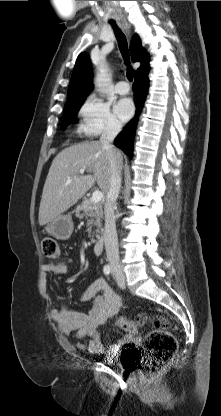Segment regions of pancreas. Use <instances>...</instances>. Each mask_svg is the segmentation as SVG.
<instances>
[{"label":"pancreas","instance_id":"cf45deb5","mask_svg":"<svg viewBox=\"0 0 221 416\" xmlns=\"http://www.w3.org/2000/svg\"><path fill=\"white\" fill-rule=\"evenodd\" d=\"M76 217L79 219H87L88 232L91 233L93 226L97 227L96 233H100L102 229L103 206L101 203H93L89 199H85L81 205H78L76 210ZM99 238V235H96Z\"/></svg>","mask_w":221,"mask_h":416}]
</instances>
